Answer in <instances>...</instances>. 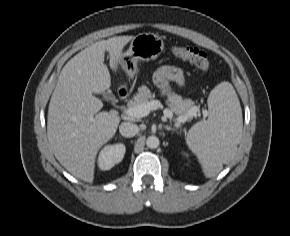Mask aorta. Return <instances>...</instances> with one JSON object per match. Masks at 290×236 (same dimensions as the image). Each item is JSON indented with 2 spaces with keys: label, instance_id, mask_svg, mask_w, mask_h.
I'll list each match as a JSON object with an SVG mask.
<instances>
[{
  "label": "aorta",
  "instance_id": "aorta-1",
  "mask_svg": "<svg viewBox=\"0 0 290 236\" xmlns=\"http://www.w3.org/2000/svg\"><path fill=\"white\" fill-rule=\"evenodd\" d=\"M159 144H160L159 138L154 135L149 136L146 140V145L150 149L157 148Z\"/></svg>",
  "mask_w": 290,
  "mask_h": 236
}]
</instances>
